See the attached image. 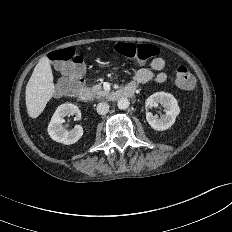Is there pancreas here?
<instances>
[{
	"label": "pancreas",
	"mask_w": 232,
	"mask_h": 232,
	"mask_svg": "<svg viewBox=\"0 0 232 232\" xmlns=\"http://www.w3.org/2000/svg\"><path fill=\"white\" fill-rule=\"evenodd\" d=\"M91 95L93 98H101L109 95L108 91L102 90L101 85L97 84L91 88Z\"/></svg>",
	"instance_id": "cf45deb5"
}]
</instances>
